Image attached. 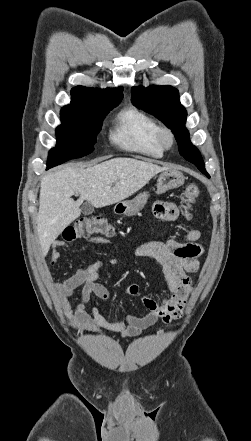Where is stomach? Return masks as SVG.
Wrapping results in <instances>:
<instances>
[{
	"mask_svg": "<svg viewBox=\"0 0 251 441\" xmlns=\"http://www.w3.org/2000/svg\"><path fill=\"white\" fill-rule=\"evenodd\" d=\"M184 184V175L177 169H167L162 171L157 179V194H162L168 190L179 188ZM149 194L140 193L132 200L120 201L114 207L116 214L133 216L143 209L147 203Z\"/></svg>",
	"mask_w": 251,
	"mask_h": 441,
	"instance_id": "stomach-1",
	"label": "stomach"
}]
</instances>
